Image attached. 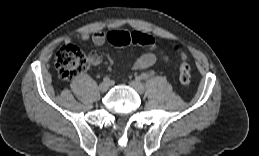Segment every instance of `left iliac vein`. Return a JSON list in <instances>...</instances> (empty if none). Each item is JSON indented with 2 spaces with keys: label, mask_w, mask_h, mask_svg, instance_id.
Segmentation results:
<instances>
[{
  "label": "left iliac vein",
  "mask_w": 259,
  "mask_h": 156,
  "mask_svg": "<svg viewBox=\"0 0 259 156\" xmlns=\"http://www.w3.org/2000/svg\"><path fill=\"white\" fill-rule=\"evenodd\" d=\"M130 86L139 94H143L145 91L144 85L140 80L131 81Z\"/></svg>",
  "instance_id": "obj_1"
}]
</instances>
